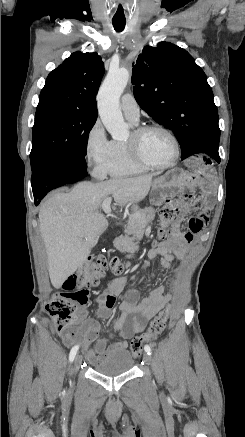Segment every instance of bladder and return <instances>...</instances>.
<instances>
[{"label":"bladder","instance_id":"31cf9c89","mask_svg":"<svg viewBox=\"0 0 245 437\" xmlns=\"http://www.w3.org/2000/svg\"><path fill=\"white\" fill-rule=\"evenodd\" d=\"M134 365V357L127 350L112 352L94 362V371L104 375H117L129 371Z\"/></svg>","mask_w":245,"mask_h":437}]
</instances>
